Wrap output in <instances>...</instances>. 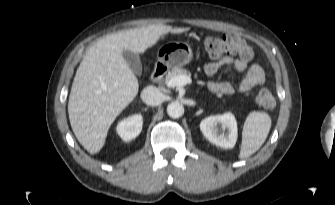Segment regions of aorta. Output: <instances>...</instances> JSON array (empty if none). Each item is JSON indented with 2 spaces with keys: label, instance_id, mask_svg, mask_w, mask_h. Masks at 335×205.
<instances>
[{
  "label": "aorta",
  "instance_id": "762f6f07",
  "mask_svg": "<svg viewBox=\"0 0 335 205\" xmlns=\"http://www.w3.org/2000/svg\"><path fill=\"white\" fill-rule=\"evenodd\" d=\"M167 114L171 118H179L184 114V107L180 102H171L167 106Z\"/></svg>",
  "mask_w": 335,
  "mask_h": 205
}]
</instances>
